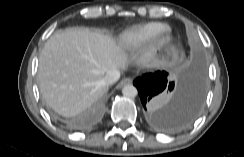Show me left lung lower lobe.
Returning a JSON list of instances; mask_svg holds the SVG:
<instances>
[{
	"mask_svg": "<svg viewBox=\"0 0 244 157\" xmlns=\"http://www.w3.org/2000/svg\"><path fill=\"white\" fill-rule=\"evenodd\" d=\"M147 121L163 132L180 130L199 115L205 96V73L199 64L187 68L175 79L165 71L146 73L134 80Z\"/></svg>",
	"mask_w": 244,
	"mask_h": 157,
	"instance_id": "1",
	"label": "left lung lower lobe"
}]
</instances>
